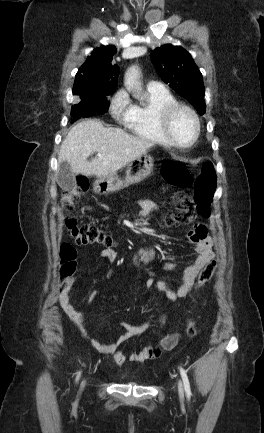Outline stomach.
<instances>
[{
    "label": "stomach",
    "mask_w": 264,
    "mask_h": 433,
    "mask_svg": "<svg viewBox=\"0 0 264 433\" xmlns=\"http://www.w3.org/2000/svg\"><path fill=\"white\" fill-rule=\"evenodd\" d=\"M154 160L150 155L144 154L132 161L126 170L125 179L113 175L95 181L94 191L105 195L119 191L131 184H136L147 178L153 171Z\"/></svg>",
    "instance_id": "obj_1"
}]
</instances>
